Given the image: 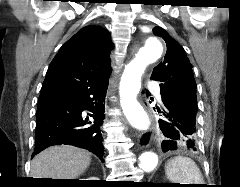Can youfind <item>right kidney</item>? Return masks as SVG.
Instances as JSON below:
<instances>
[{
	"instance_id": "obj_1",
	"label": "right kidney",
	"mask_w": 240,
	"mask_h": 187,
	"mask_svg": "<svg viewBox=\"0 0 240 187\" xmlns=\"http://www.w3.org/2000/svg\"><path fill=\"white\" fill-rule=\"evenodd\" d=\"M86 180H98V178H95V177H91V178H88Z\"/></svg>"
}]
</instances>
